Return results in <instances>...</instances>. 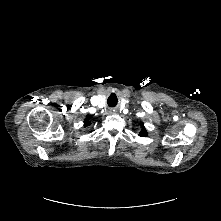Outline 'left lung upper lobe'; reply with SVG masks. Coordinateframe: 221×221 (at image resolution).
Returning <instances> with one entry per match:
<instances>
[{
    "instance_id": "1",
    "label": "left lung upper lobe",
    "mask_w": 221,
    "mask_h": 221,
    "mask_svg": "<svg viewBox=\"0 0 221 221\" xmlns=\"http://www.w3.org/2000/svg\"><path fill=\"white\" fill-rule=\"evenodd\" d=\"M139 136H141V137L147 136V130L145 129L143 123H141V131L139 133Z\"/></svg>"
}]
</instances>
